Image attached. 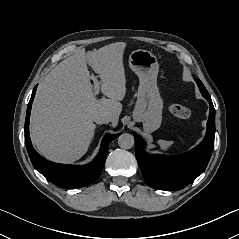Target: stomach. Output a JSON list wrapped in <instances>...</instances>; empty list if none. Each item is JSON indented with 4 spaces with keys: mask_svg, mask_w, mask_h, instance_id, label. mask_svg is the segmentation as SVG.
I'll return each instance as SVG.
<instances>
[{
    "mask_svg": "<svg viewBox=\"0 0 239 239\" xmlns=\"http://www.w3.org/2000/svg\"><path fill=\"white\" fill-rule=\"evenodd\" d=\"M129 65L140 81L133 119L142 122L146 132H152L161 125L163 109L157 87V58L152 52L139 49L130 54Z\"/></svg>",
    "mask_w": 239,
    "mask_h": 239,
    "instance_id": "0dacf381",
    "label": "stomach"
}]
</instances>
